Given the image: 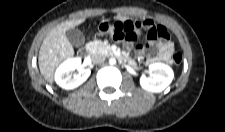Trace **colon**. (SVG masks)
I'll list each match as a JSON object with an SVG mask.
<instances>
[{
  "label": "colon",
  "mask_w": 225,
  "mask_h": 132,
  "mask_svg": "<svg viewBox=\"0 0 225 132\" xmlns=\"http://www.w3.org/2000/svg\"><path fill=\"white\" fill-rule=\"evenodd\" d=\"M100 29L111 36L115 40H128L133 41L138 38V31H124L119 25L114 23H104L101 24ZM149 40L156 41L157 39H169L168 32L163 27H155L148 30ZM182 61V55L176 53L172 57V62L179 65Z\"/></svg>",
  "instance_id": "obj_1"
}]
</instances>
